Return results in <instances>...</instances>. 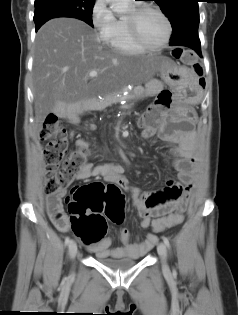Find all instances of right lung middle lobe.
I'll list each match as a JSON object with an SVG mask.
<instances>
[{
	"instance_id": "1",
	"label": "right lung middle lobe",
	"mask_w": 238,
	"mask_h": 315,
	"mask_svg": "<svg viewBox=\"0 0 238 315\" xmlns=\"http://www.w3.org/2000/svg\"><path fill=\"white\" fill-rule=\"evenodd\" d=\"M95 0H35V24L55 17L80 19L91 27Z\"/></svg>"
}]
</instances>
